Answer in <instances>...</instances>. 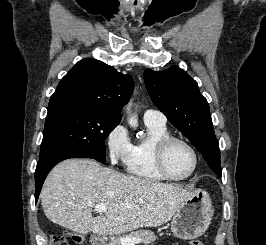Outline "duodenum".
<instances>
[{"instance_id":"obj_1","label":"duodenum","mask_w":266,"mask_h":245,"mask_svg":"<svg viewBox=\"0 0 266 245\" xmlns=\"http://www.w3.org/2000/svg\"><path fill=\"white\" fill-rule=\"evenodd\" d=\"M92 245H107V242H105V237H98L93 240Z\"/></svg>"}]
</instances>
